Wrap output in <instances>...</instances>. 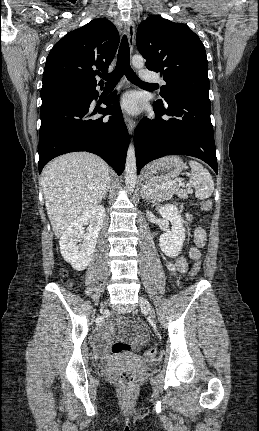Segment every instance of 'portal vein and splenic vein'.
Returning a JSON list of instances; mask_svg holds the SVG:
<instances>
[{
	"instance_id": "obj_1",
	"label": "portal vein and splenic vein",
	"mask_w": 259,
	"mask_h": 431,
	"mask_svg": "<svg viewBox=\"0 0 259 431\" xmlns=\"http://www.w3.org/2000/svg\"><path fill=\"white\" fill-rule=\"evenodd\" d=\"M174 183H175L174 181L168 182V184H174ZM165 186H166V183L162 185V188H164ZM145 189H146V193H147L148 195H150V194L152 193V190H151V189H148V188H146V187H145ZM188 191H189L190 193H192V190L188 189Z\"/></svg>"
}]
</instances>
